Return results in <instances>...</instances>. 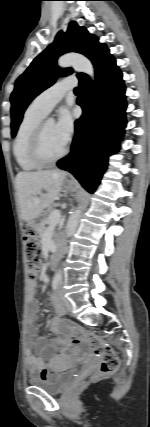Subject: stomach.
I'll use <instances>...</instances> for the list:
<instances>
[{"label":"stomach","instance_id":"0dacf381","mask_svg":"<svg viewBox=\"0 0 150 427\" xmlns=\"http://www.w3.org/2000/svg\"><path fill=\"white\" fill-rule=\"evenodd\" d=\"M63 186L68 192H73L77 188V184L71 180H65Z\"/></svg>","mask_w":150,"mask_h":427}]
</instances>
